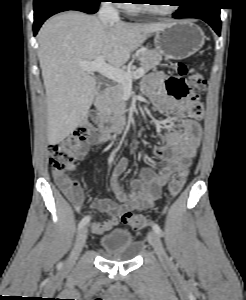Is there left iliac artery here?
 <instances>
[{
  "label": "left iliac artery",
  "instance_id": "44dca946",
  "mask_svg": "<svg viewBox=\"0 0 246 300\" xmlns=\"http://www.w3.org/2000/svg\"><path fill=\"white\" fill-rule=\"evenodd\" d=\"M152 228L158 235L162 236V230L158 224H153Z\"/></svg>",
  "mask_w": 246,
  "mask_h": 300
}]
</instances>
